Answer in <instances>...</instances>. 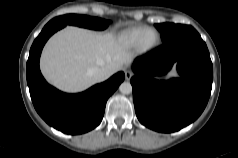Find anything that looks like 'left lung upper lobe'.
<instances>
[{
	"instance_id": "obj_1",
	"label": "left lung upper lobe",
	"mask_w": 238,
	"mask_h": 158,
	"mask_svg": "<svg viewBox=\"0 0 238 158\" xmlns=\"http://www.w3.org/2000/svg\"><path fill=\"white\" fill-rule=\"evenodd\" d=\"M155 27L161 32V38L163 42H167L178 35H182L195 30L189 25L173 23L155 24Z\"/></svg>"
}]
</instances>
